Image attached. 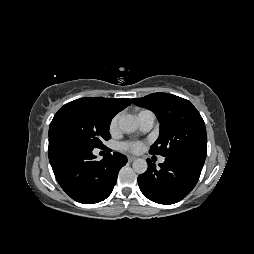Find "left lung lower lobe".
Returning <instances> with one entry per match:
<instances>
[{"mask_svg": "<svg viewBox=\"0 0 254 254\" xmlns=\"http://www.w3.org/2000/svg\"><path fill=\"white\" fill-rule=\"evenodd\" d=\"M205 159L196 155H176L165 158L156 168L147 160V171L138 176L141 192L159 204H174L186 197L200 177Z\"/></svg>", "mask_w": 254, "mask_h": 254, "instance_id": "1", "label": "left lung lower lobe"}]
</instances>
